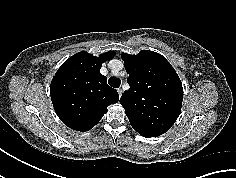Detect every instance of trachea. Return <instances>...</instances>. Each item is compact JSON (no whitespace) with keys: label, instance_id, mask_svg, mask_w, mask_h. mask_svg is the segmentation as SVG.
Returning a JSON list of instances; mask_svg holds the SVG:
<instances>
[{"label":"trachea","instance_id":"3493384b","mask_svg":"<svg viewBox=\"0 0 236 178\" xmlns=\"http://www.w3.org/2000/svg\"><path fill=\"white\" fill-rule=\"evenodd\" d=\"M108 84L113 88H119V86L121 84V80L119 78H116V77H111L108 80Z\"/></svg>","mask_w":236,"mask_h":178}]
</instances>
